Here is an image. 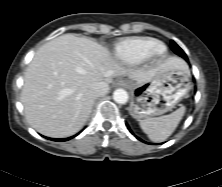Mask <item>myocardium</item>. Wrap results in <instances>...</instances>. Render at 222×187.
I'll list each match as a JSON object with an SVG mask.
<instances>
[{
    "mask_svg": "<svg viewBox=\"0 0 222 187\" xmlns=\"http://www.w3.org/2000/svg\"><path fill=\"white\" fill-rule=\"evenodd\" d=\"M167 55V47L163 43L157 42L149 51L146 60L149 63H157Z\"/></svg>",
    "mask_w": 222,
    "mask_h": 187,
    "instance_id": "1",
    "label": "myocardium"
}]
</instances>
